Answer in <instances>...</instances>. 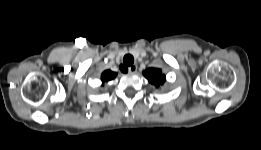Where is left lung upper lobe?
I'll use <instances>...</instances> for the list:
<instances>
[{"label": "left lung upper lobe", "mask_w": 261, "mask_h": 150, "mask_svg": "<svg viewBox=\"0 0 261 150\" xmlns=\"http://www.w3.org/2000/svg\"><path fill=\"white\" fill-rule=\"evenodd\" d=\"M143 75L148 79V81L151 84L155 85L156 87L163 85L166 81L165 75H163L162 71L157 68L146 69L143 72Z\"/></svg>", "instance_id": "obj_1"}]
</instances>
